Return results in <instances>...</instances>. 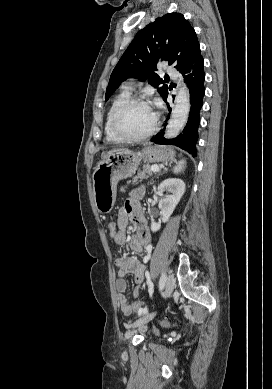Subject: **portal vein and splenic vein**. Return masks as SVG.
<instances>
[{
  "instance_id": "1",
  "label": "portal vein and splenic vein",
  "mask_w": 272,
  "mask_h": 389,
  "mask_svg": "<svg viewBox=\"0 0 272 389\" xmlns=\"http://www.w3.org/2000/svg\"><path fill=\"white\" fill-rule=\"evenodd\" d=\"M151 171L158 172L159 171V166H157V165L151 166Z\"/></svg>"
}]
</instances>
